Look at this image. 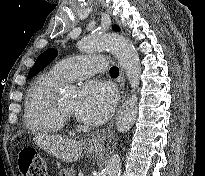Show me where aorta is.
Segmentation results:
<instances>
[{"instance_id": "762f6f07", "label": "aorta", "mask_w": 205, "mask_h": 176, "mask_svg": "<svg viewBox=\"0 0 205 176\" xmlns=\"http://www.w3.org/2000/svg\"><path fill=\"white\" fill-rule=\"evenodd\" d=\"M78 49L86 53L108 49L125 70L132 87V94L125 100L119 110L116 127L119 133H126L131 129L137 116L138 98L135 94V89L139 85L141 74L137 51L129 40L115 33L89 35L78 42ZM120 171V156L114 154L109 160L103 176H120Z\"/></svg>"}]
</instances>
